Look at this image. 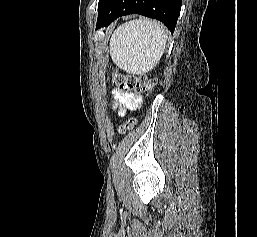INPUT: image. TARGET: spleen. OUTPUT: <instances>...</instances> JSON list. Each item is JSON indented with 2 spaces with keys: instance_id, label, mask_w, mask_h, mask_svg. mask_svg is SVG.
<instances>
[{
  "instance_id": "obj_1",
  "label": "spleen",
  "mask_w": 257,
  "mask_h": 237,
  "mask_svg": "<svg viewBox=\"0 0 257 237\" xmlns=\"http://www.w3.org/2000/svg\"><path fill=\"white\" fill-rule=\"evenodd\" d=\"M167 34L162 25L137 19L119 26L110 39L112 61L130 74H143L159 62Z\"/></svg>"
}]
</instances>
